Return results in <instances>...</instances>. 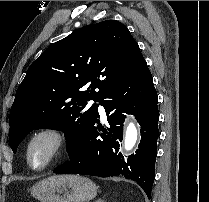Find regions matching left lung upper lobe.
Returning <instances> with one entry per match:
<instances>
[{
    "label": "left lung upper lobe",
    "instance_id": "1",
    "mask_svg": "<svg viewBox=\"0 0 209 202\" xmlns=\"http://www.w3.org/2000/svg\"><path fill=\"white\" fill-rule=\"evenodd\" d=\"M138 43L120 22L84 26L49 46L28 68L9 117V145L14 153L34 129L61 130L66 149L89 129L97 104L144 63ZM87 88L80 91L81 88Z\"/></svg>",
    "mask_w": 209,
    "mask_h": 202
}]
</instances>
